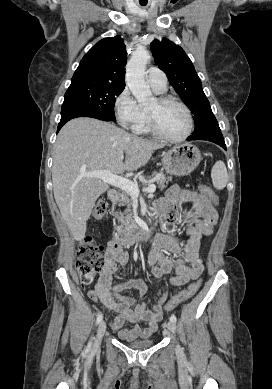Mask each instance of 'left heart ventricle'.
Returning a JSON list of instances; mask_svg holds the SVG:
<instances>
[{"label": "left heart ventricle", "instance_id": "obj_1", "mask_svg": "<svg viewBox=\"0 0 272 389\" xmlns=\"http://www.w3.org/2000/svg\"><path fill=\"white\" fill-rule=\"evenodd\" d=\"M148 111L155 115L160 130L168 136L178 137L184 134L187 130V115L178 105L168 104L161 106L156 100L148 108Z\"/></svg>", "mask_w": 272, "mask_h": 389}]
</instances>
